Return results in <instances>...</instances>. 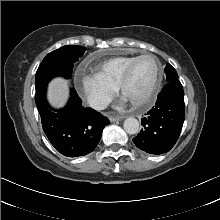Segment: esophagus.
<instances>
[{
	"label": "esophagus",
	"mask_w": 220,
	"mask_h": 220,
	"mask_svg": "<svg viewBox=\"0 0 220 220\" xmlns=\"http://www.w3.org/2000/svg\"><path fill=\"white\" fill-rule=\"evenodd\" d=\"M124 117L123 116H110L109 117V120L111 122H115V121H119V120H122Z\"/></svg>",
	"instance_id": "34e87169"
}]
</instances>
